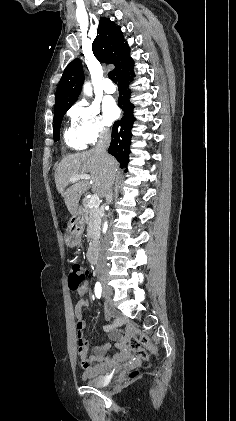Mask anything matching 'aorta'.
Returning a JSON list of instances; mask_svg holds the SVG:
<instances>
[{"mask_svg":"<svg viewBox=\"0 0 236 421\" xmlns=\"http://www.w3.org/2000/svg\"><path fill=\"white\" fill-rule=\"evenodd\" d=\"M91 90H92V88H91L90 82H85V84H84V92H86V94H89V96H90ZM107 229H108V225H107V223H104L103 233H106Z\"/></svg>","mask_w":236,"mask_h":421,"instance_id":"1","label":"aorta"}]
</instances>
